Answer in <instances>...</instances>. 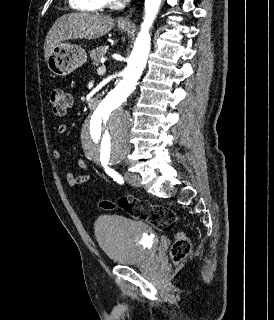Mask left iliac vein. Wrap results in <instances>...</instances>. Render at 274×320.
Listing matches in <instances>:
<instances>
[{"label": "left iliac vein", "instance_id": "obj_1", "mask_svg": "<svg viewBox=\"0 0 274 320\" xmlns=\"http://www.w3.org/2000/svg\"><path fill=\"white\" fill-rule=\"evenodd\" d=\"M124 178L132 186H135V187H140L141 186V178L136 173H132V172L126 171L124 173Z\"/></svg>", "mask_w": 274, "mask_h": 320}]
</instances>
